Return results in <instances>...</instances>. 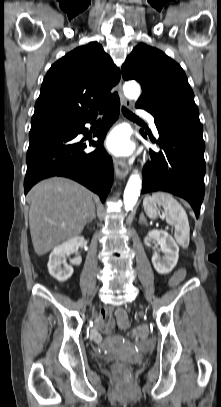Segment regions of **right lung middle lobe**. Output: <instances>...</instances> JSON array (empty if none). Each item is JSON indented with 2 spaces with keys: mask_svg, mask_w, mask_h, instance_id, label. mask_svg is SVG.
Instances as JSON below:
<instances>
[{
  "mask_svg": "<svg viewBox=\"0 0 221 407\" xmlns=\"http://www.w3.org/2000/svg\"><path fill=\"white\" fill-rule=\"evenodd\" d=\"M60 124H55V125H49V126H44V127H38V128H31L30 132L36 131V130H40V129H44V128H49V127H55L58 126Z\"/></svg>",
  "mask_w": 221,
  "mask_h": 407,
  "instance_id": "1",
  "label": "right lung middle lobe"
}]
</instances>
